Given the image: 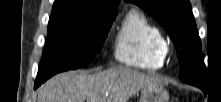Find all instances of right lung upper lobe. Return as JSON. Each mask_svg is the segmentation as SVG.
Instances as JSON below:
<instances>
[{
	"mask_svg": "<svg viewBox=\"0 0 221 102\" xmlns=\"http://www.w3.org/2000/svg\"><path fill=\"white\" fill-rule=\"evenodd\" d=\"M120 0H55L51 14L118 11Z\"/></svg>",
	"mask_w": 221,
	"mask_h": 102,
	"instance_id": "1",
	"label": "right lung upper lobe"
}]
</instances>
